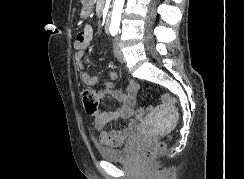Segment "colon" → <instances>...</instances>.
Returning <instances> with one entry per match:
<instances>
[{"mask_svg": "<svg viewBox=\"0 0 244 179\" xmlns=\"http://www.w3.org/2000/svg\"><path fill=\"white\" fill-rule=\"evenodd\" d=\"M81 101L88 115H95L98 112L99 106L95 92L91 88H83L81 90ZM162 101L168 104H173L176 100L175 96H169V93H160ZM147 108L145 104H138L136 111H132V116H137L138 123H145L148 119ZM156 147H149V150H144L143 158H154L158 152H164L165 142H156Z\"/></svg>", "mask_w": 244, "mask_h": 179, "instance_id": "5ec220e1", "label": "colon"}]
</instances>
